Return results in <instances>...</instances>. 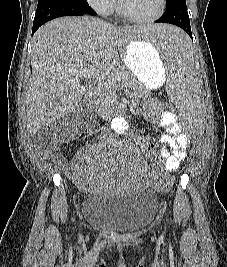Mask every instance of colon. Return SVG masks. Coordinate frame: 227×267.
Listing matches in <instances>:
<instances>
[{"label": "colon", "mask_w": 227, "mask_h": 267, "mask_svg": "<svg viewBox=\"0 0 227 267\" xmlns=\"http://www.w3.org/2000/svg\"><path fill=\"white\" fill-rule=\"evenodd\" d=\"M166 113H176L177 109L174 104L164 105ZM87 106H84V111ZM80 119L83 118L82 114L78 116ZM69 126L62 121L52 123L46 130H44L38 137L37 143L39 146L46 148L52 152L59 148V146L68 138ZM193 160V155H181V159L177 162L175 169H164V175L159 181L157 187H154V192H166L172 185V178H177L179 174H183V171H189Z\"/></svg>", "instance_id": "obj_1"}]
</instances>
